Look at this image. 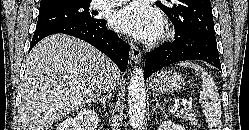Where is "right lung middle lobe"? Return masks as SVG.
<instances>
[{"label":"right lung middle lobe","instance_id":"dd1d6c3e","mask_svg":"<svg viewBox=\"0 0 249 130\" xmlns=\"http://www.w3.org/2000/svg\"><path fill=\"white\" fill-rule=\"evenodd\" d=\"M91 1H82L68 6L39 9L36 28H44L64 23H94V13L89 12Z\"/></svg>","mask_w":249,"mask_h":130}]
</instances>
